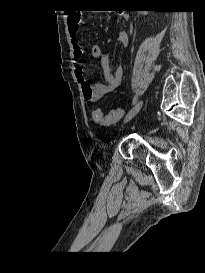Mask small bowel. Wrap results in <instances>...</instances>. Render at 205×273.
<instances>
[{
    "label": "small bowel",
    "instance_id": "small-bowel-1",
    "mask_svg": "<svg viewBox=\"0 0 205 273\" xmlns=\"http://www.w3.org/2000/svg\"><path fill=\"white\" fill-rule=\"evenodd\" d=\"M122 17L126 18L127 14H122ZM68 25L72 40V55L75 61H80L83 58L84 50L76 39V36L79 32L81 22L77 20V16L72 15L68 17ZM117 41L121 45L126 46L129 43L128 33L124 31L119 33ZM91 54L93 57L100 58L101 60V68L105 83H88L83 68L80 66L76 67L75 76L82 85L84 99L87 103H94L116 89L120 85L123 74L121 67L112 68L109 56L102 51L98 44H93L91 46Z\"/></svg>",
    "mask_w": 205,
    "mask_h": 273
}]
</instances>
